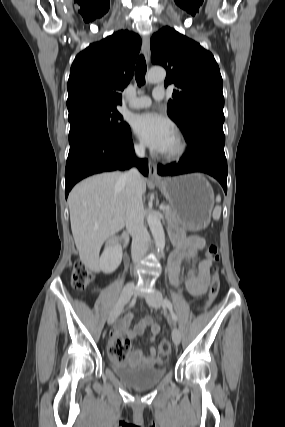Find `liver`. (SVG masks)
<instances>
[{
	"label": "liver",
	"mask_w": 285,
	"mask_h": 427,
	"mask_svg": "<svg viewBox=\"0 0 285 427\" xmlns=\"http://www.w3.org/2000/svg\"><path fill=\"white\" fill-rule=\"evenodd\" d=\"M122 176L120 172L92 176L69 194L72 234L81 261L90 269L98 268L103 243L125 226L127 195ZM141 187L144 193V178Z\"/></svg>",
	"instance_id": "6515ba94"
}]
</instances>
